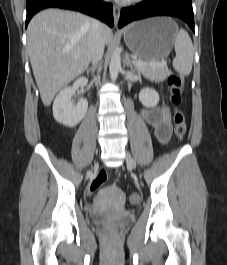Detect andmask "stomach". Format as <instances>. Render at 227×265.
Masks as SVG:
<instances>
[{"instance_id":"0dacf381","label":"stomach","mask_w":227,"mask_h":265,"mask_svg":"<svg viewBox=\"0 0 227 265\" xmlns=\"http://www.w3.org/2000/svg\"><path fill=\"white\" fill-rule=\"evenodd\" d=\"M178 33L169 17H154L128 25L124 31L127 47L143 61H160L167 57Z\"/></svg>"}]
</instances>
